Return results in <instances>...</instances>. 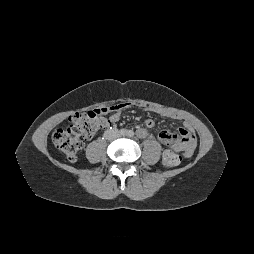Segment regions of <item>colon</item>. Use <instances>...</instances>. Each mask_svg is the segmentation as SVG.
I'll return each mask as SVG.
<instances>
[{
	"instance_id": "5ec220e1",
	"label": "colon",
	"mask_w": 254,
	"mask_h": 254,
	"mask_svg": "<svg viewBox=\"0 0 254 254\" xmlns=\"http://www.w3.org/2000/svg\"><path fill=\"white\" fill-rule=\"evenodd\" d=\"M106 112L107 108H102L74 114L67 128H59L53 133L54 145L69 161L75 162L84 146L83 140L95 134L102 124L101 115ZM179 162L180 157L175 153L168 154L163 161L169 168L178 165Z\"/></svg>"
}]
</instances>
